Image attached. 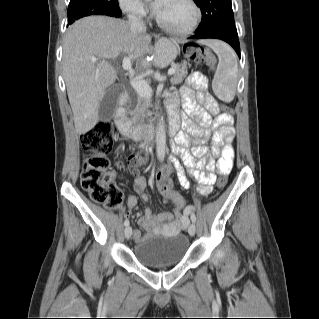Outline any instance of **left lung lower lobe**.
<instances>
[{
    "instance_id": "1",
    "label": "left lung lower lobe",
    "mask_w": 319,
    "mask_h": 319,
    "mask_svg": "<svg viewBox=\"0 0 319 319\" xmlns=\"http://www.w3.org/2000/svg\"><path fill=\"white\" fill-rule=\"evenodd\" d=\"M204 38H214V39H220L228 44H230L238 56L240 57V45L238 40V34L223 32V31H213V32H207V33H196L195 35L191 36L190 39H204Z\"/></svg>"
}]
</instances>
